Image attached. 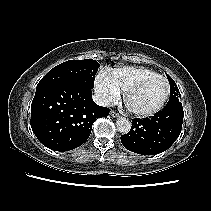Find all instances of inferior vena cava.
I'll return each mask as SVG.
<instances>
[{
	"label": "inferior vena cava",
	"instance_id": "obj_1",
	"mask_svg": "<svg viewBox=\"0 0 211 211\" xmlns=\"http://www.w3.org/2000/svg\"><path fill=\"white\" fill-rule=\"evenodd\" d=\"M93 100L99 106H110L111 105V101L108 98H106L105 96H103L102 94H97V93L94 94Z\"/></svg>",
	"mask_w": 211,
	"mask_h": 211
}]
</instances>
